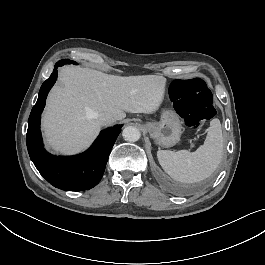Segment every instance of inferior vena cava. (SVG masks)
Here are the masks:
<instances>
[{"label": "inferior vena cava", "mask_w": 265, "mask_h": 265, "mask_svg": "<svg viewBox=\"0 0 265 265\" xmlns=\"http://www.w3.org/2000/svg\"><path fill=\"white\" fill-rule=\"evenodd\" d=\"M115 121V119L113 117H111L110 115L108 114H101L98 118V122L101 124V125H104V124H111Z\"/></svg>", "instance_id": "1"}]
</instances>
